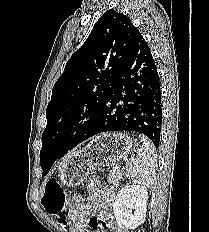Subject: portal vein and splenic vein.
Returning <instances> with one entry per match:
<instances>
[{
    "mask_svg": "<svg viewBox=\"0 0 209 232\" xmlns=\"http://www.w3.org/2000/svg\"><path fill=\"white\" fill-rule=\"evenodd\" d=\"M117 168H118V166H115V167H114V169H117Z\"/></svg>",
    "mask_w": 209,
    "mask_h": 232,
    "instance_id": "1",
    "label": "portal vein and splenic vein"
}]
</instances>
